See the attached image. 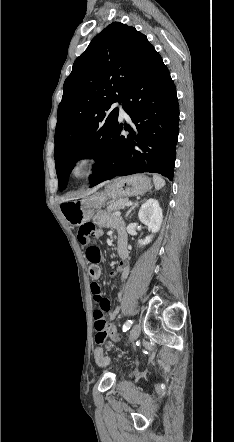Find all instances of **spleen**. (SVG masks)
<instances>
[{"instance_id": "3e777b00", "label": "spleen", "mask_w": 234, "mask_h": 442, "mask_svg": "<svg viewBox=\"0 0 234 442\" xmlns=\"http://www.w3.org/2000/svg\"><path fill=\"white\" fill-rule=\"evenodd\" d=\"M153 181L157 190L161 189L165 185V180L158 174L153 175Z\"/></svg>"}]
</instances>
